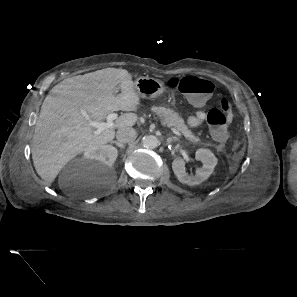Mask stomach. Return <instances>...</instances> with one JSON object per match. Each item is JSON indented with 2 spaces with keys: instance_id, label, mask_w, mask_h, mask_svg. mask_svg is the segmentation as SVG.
<instances>
[{
  "instance_id": "stomach-1",
  "label": "stomach",
  "mask_w": 297,
  "mask_h": 297,
  "mask_svg": "<svg viewBox=\"0 0 297 297\" xmlns=\"http://www.w3.org/2000/svg\"><path fill=\"white\" fill-rule=\"evenodd\" d=\"M134 90L142 98H155L165 91L164 83L155 78L139 77L134 83Z\"/></svg>"
}]
</instances>
